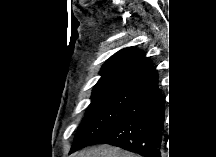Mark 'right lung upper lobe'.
Returning <instances> with one entry per match:
<instances>
[{
	"label": "right lung upper lobe",
	"instance_id": "cb5924a9",
	"mask_svg": "<svg viewBox=\"0 0 216 157\" xmlns=\"http://www.w3.org/2000/svg\"><path fill=\"white\" fill-rule=\"evenodd\" d=\"M101 78L93 89L92 97L116 90L136 91L158 79L148 59L133 47L124 48L111 56L100 70Z\"/></svg>",
	"mask_w": 216,
	"mask_h": 157
}]
</instances>
